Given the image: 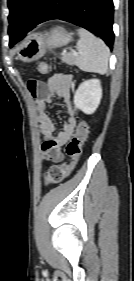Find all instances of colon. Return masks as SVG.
I'll use <instances>...</instances> for the list:
<instances>
[{"label":"colon","instance_id":"colon-1","mask_svg":"<svg viewBox=\"0 0 134 281\" xmlns=\"http://www.w3.org/2000/svg\"><path fill=\"white\" fill-rule=\"evenodd\" d=\"M38 71L41 75H46L50 71V65L47 62H40L38 64ZM88 132L87 123L85 121H81L66 146V153L70 158V163L51 166L45 176L47 184L60 183L70 175L81 158Z\"/></svg>","mask_w":134,"mask_h":281}]
</instances>
